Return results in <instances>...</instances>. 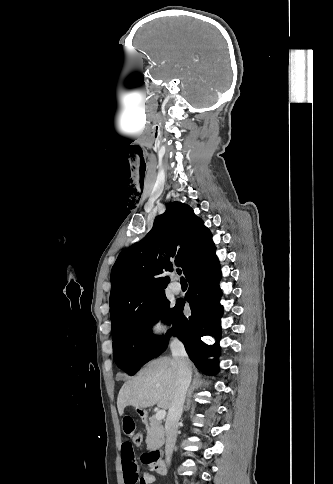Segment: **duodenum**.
Masks as SVG:
<instances>
[{
  "instance_id": "duodenum-1",
  "label": "duodenum",
  "mask_w": 333,
  "mask_h": 484,
  "mask_svg": "<svg viewBox=\"0 0 333 484\" xmlns=\"http://www.w3.org/2000/svg\"><path fill=\"white\" fill-rule=\"evenodd\" d=\"M148 458L151 461L153 470L157 474L164 475L166 473V466H165L163 459L161 458V451L160 450H152L149 453Z\"/></svg>"
}]
</instances>
